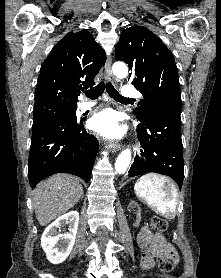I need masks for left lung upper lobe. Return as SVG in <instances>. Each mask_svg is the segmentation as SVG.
Here are the masks:
<instances>
[{"label":"left lung upper lobe","mask_w":221,"mask_h":278,"mask_svg":"<svg viewBox=\"0 0 221 278\" xmlns=\"http://www.w3.org/2000/svg\"><path fill=\"white\" fill-rule=\"evenodd\" d=\"M115 58L128 64L129 78L144 97L134 111L138 121L155 111L180 115L177 67L173 54L160 38L142 26L126 28L116 45Z\"/></svg>","instance_id":"left-lung-upper-lobe-1"}]
</instances>
